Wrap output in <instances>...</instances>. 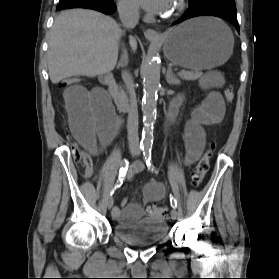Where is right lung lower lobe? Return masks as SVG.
Returning <instances> with one entry per match:
<instances>
[{"label":"right lung lower lobe","mask_w":279,"mask_h":279,"mask_svg":"<svg viewBox=\"0 0 279 279\" xmlns=\"http://www.w3.org/2000/svg\"><path fill=\"white\" fill-rule=\"evenodd\" d=\"M70 8L94 9L107 15L116 10L113 1L109 0H60V3L57 6L58 10Z\"/></svg>","instance_id":"98d812e1"}]
</instances>
